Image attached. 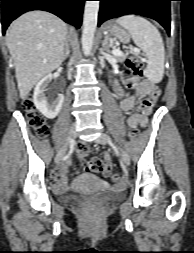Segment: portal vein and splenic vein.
I'll return each instance as SVG.
<instances>
[{
  "label": "portal vein and splenic vein",
  "mask_w": 194,
  "mask_h": 253,
  "mask_svg": "<svg viewBox=\"0 0 194 253\" xmlns=\"http://www.w3.org/2000/svg\"><path fill=\"white\" fill-rule=\"evenodd\" d=\"M139 52H140L139 49H136V48L131 49V53H133V54H137ZM112 54L115 55V56H118V55H122V52L119 49H113Z\"/></svg>",
  "instance_id": "18ae733b"
}]
</instances>
